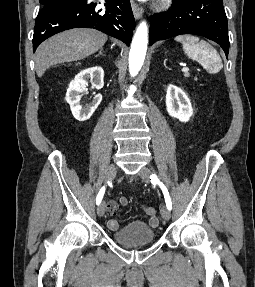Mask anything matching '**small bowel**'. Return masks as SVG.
<instances>
[{
    "mask_svg": "<svg viewBox=\"0 0 255 287\" xmlns=\"http://www.w3.org/2000/svg\"><path fill=\"white\" fill-rule=\"evenodd\" d=\"M128 204V199L126 197H121L119 198L118 202L115 201H111L109 202V204L107 205V211L108 214L110 216H115L117 214L118 211V206H127ZM158 218L157 217H150L149 218V225H151L152 227H156L158 225ZM107 226L110 230H115L117 228H119V224L115 219H109L107 221Z\"/></svg>",
    "mask_w": 255,
    "mask_h": 287,
    "instance_id": "1",
    "label": "small bowel"
}]
</instances>
